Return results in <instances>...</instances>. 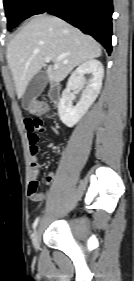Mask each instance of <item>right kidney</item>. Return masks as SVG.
Here are the masks:
<instances>
[{
  "mask_svg": "<svg viewBox=\"0 0 134 281\" xmlns=\"http://www.w3.org/2000/svg\"><path fill=\"white\" fill-rule=\"evenodd\" d=\"M91 73L92 78L86 82L84 75ZM104 75L103 65L96 59L83 62L70 76L66 89L62 92V97L58 104L60 120L68 127H73L79 122L83 115L98 97ZM85 84H87L85 86ZM85 89L82 92L80 101L75 107L72 102L74 95L71 91L75 89Z\"/></svg>",
  "mask_w": 134,
  "mask_h": 281,
  "instance_id": "right-kidney-1",
  "label": "right kidney"
}]
</instances>
